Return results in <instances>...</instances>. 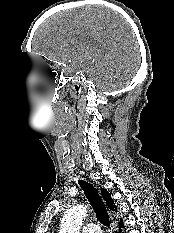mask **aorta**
<instances>
[{
    "instance_id": "aorta-1",
    "label": "aorta",
    "mask_w": 174,
    "mask_h": 233,
    "mask_svg": "<svg viewBox=\"0 0 174 233\" xmlns=\"http://www.w3.org/2000/svg\"><path fill=\"white\" fill-rule=\"evenodd\" d=\"M86 212L83 205H75L68 209L62 218L59 233H80Z\"/></svg>"
}]
</instances>
